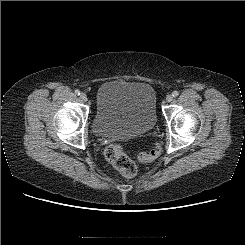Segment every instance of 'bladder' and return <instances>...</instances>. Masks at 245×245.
Masks as SVG:
<instances>
[{
	"label": "bladder",
	"mask_w": 245,
	"mask_h": 245,
	"mask_svg": "<svg viewBox=\"0 0 245 245\" xmlns=\"http://www.w3.org/2000/svg\"><path fill=\"white\" fill-rule=\"evenodd\" d=\"M156 122V95L149 84L109 80L99 87L92 123L97 136L138 137Z\"/></svg>",
	"instance_id": "bladder-1"
}]
</instances>
